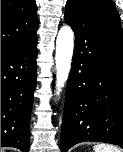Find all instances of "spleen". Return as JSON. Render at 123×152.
<instances>
[{
    "label": "spleen",
    "mask_w": 123,
    "mask_h": 152,
    "mask_svg": "<svg viewBox=\"0 0 123 152\" xmlns=\"http://www.w3.org/2000/svg\"><path fill=\"white\" fill-rule=\"evenodd\" d=\"M94 152H121V150L112 145L98 144L94 146Z\"/></svg>",
    "instance_id": "obj_1"
}]
</instances>
